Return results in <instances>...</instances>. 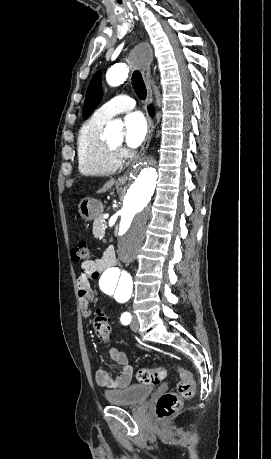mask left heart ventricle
<instances>
[{"instance_id":"1","label":"left heart ventricle","mask_w":271,"mask_h":459,"mask_svg":"<svg viewBox=\"0 0 271 459\" xmlns=\"http://www.w3.org/2000/svg\"><path fill=\"white\" fill-rule=\"evenodd\" d=\"M109 141L110 143L114 144V145H121L122 141H123V137H117V138H113V139H110V140H107Z\"/></svg>"}]
</instances>
